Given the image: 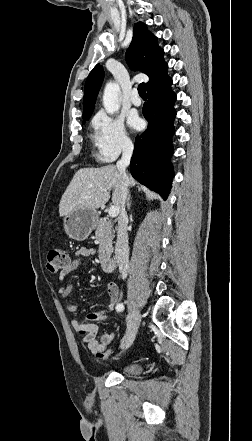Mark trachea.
Returning a JSON list of instances; mask_svg holds the SVG:
<instances>
[{
    "label": "trachea",
    "instance_id": "trachea-1",
    "mask_svg": "<svg viewBox=\"0 0 252 441\" xmlns=\"http://www.w3.org/2000/svg\"><path fill=\"white\" fill-rule=\"evenodd\" d=\"M138 92L139 95L142 97H146V86L145 83H141L138 85Z\"/></svg>",
    "mask_w": 252,
    "mask_h": 441
}]
</instances>
